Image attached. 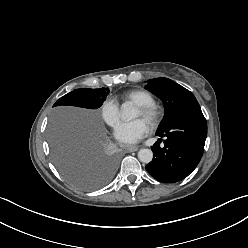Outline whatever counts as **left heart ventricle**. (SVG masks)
Wrapping results in <instances>:
<instances>
[{
  "instance_id": "obj_1",
  "label": "left heart ventricle",
  "mask_w": 248,
  "mask_h": 248,
  "mask_svg": "<svg viewBox=\"0 0 248 248\" xmlns=\"http://www.w3.org/2000/svg\"><path fill=\"white\" fill-rule=\"evenodd\" d=\"M134 118H142V119H144L143 116L141 115V113H140V111H139L138 109H136V111H135ZM144 120H145V119H144Z\"/></svg>"
}]
</instances>
